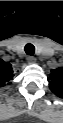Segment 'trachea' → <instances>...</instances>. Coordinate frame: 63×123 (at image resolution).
<instances>
[{
    "mask_svg": "<svg viewBox=\"0 0 63 123\" xmlns=\"http://www.w3.org/2000/svg\"><path fill=\"white\" fill-rule=\"evenodd\" d=\"M24 50H25V52H26L27 55L33 56V55H34V52H35V47H34V45L31 44V43H27V44L25 45Z\"/></svg>",
    "mask_w": 63,
    "mask_h": 123,
    "instance_id": "trachea-1",
    "label": "trachea"
}]
</instances>
